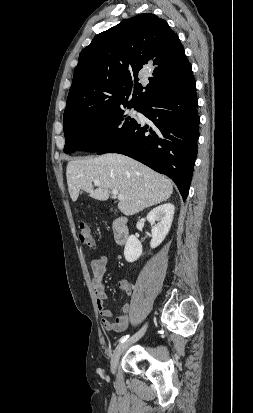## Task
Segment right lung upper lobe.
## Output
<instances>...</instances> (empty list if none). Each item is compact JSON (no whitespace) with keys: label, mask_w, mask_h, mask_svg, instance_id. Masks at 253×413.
Segmentation results:
<instances>
[{"label":"right lung upper lobe","mask_w":253,"mask_h":413,"mask_svg":"<svg viewBox=\"0 0 253 413\" xmlns=\"http://www.w3.org/2000/svg\"><path fill=\"white\" fill-rule=\"evenodd\" d=\"M191 73L184 48L167 22L139 14L96 35L81 51L63 124L98 111L139 107L180 86Z\"/></svg>","instance_id":"obj_1"}]
</instances>
